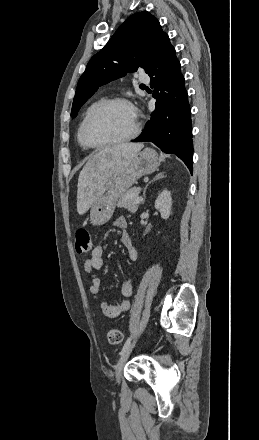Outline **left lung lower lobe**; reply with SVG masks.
Here are the masks:
<instances>
[{
    "label": "left lung lower lobe",
    "instance_id": "left-lung-lower-lobe-1",
    "mask_svg": "<svg viewBox=\"0 0 259 440\" xmlns=\"http://www.w3.org/2000/svg\"><path fill=\"white\" fill-rule=\"evenodd\" d=\"M155 110L133 142H152L163 152L177 155L192 173V127L188 95L174 47L167 36L149 64Z\"/></svg>",
    "mask_w": 259,
    "mask_h": 440
}]
</instances>
